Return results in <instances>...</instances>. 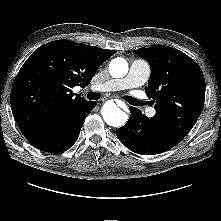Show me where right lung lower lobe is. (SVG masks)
<instances>
[{
	"label": "right lung lower lobe",
	"instance_id": "98d812e1",
	"mask_svg": "<svg viewBox=\"0 0 221 221\" xmlns=\"http://www.w3.org/2000/svg\"><path fill=\"white\" fill-rule=\"evenodd\" d=\"M96 105L97 102L88 101L74 114L43 130L29 141L45 152L57 153L67 150L76 142L85 118Z\"/></svg>",
	"mask_w": 221,
	"mask_h": 221
}]
</instances>
